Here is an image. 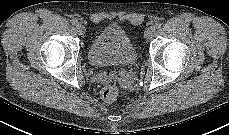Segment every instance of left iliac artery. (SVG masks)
Masks as SVG:
<instances>
[{"instance_id":"1","label":"left iliac artery","mask_w":229,"mask_h":135,"mask_svg":"<svg viewBox=\"0 0 229 135\" xmlns=\"http://www.w3.org/2000/svg\"><path fill=\"white\" fill-rule=\"evenodd\" d=\"M154 27H155L156 29L160 28V27H161V23H160V22L155 23Z\"/></svg>"}]
</instances>
